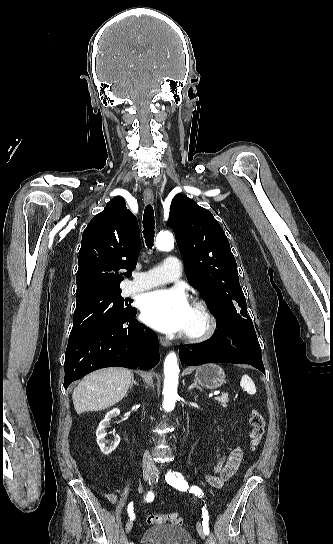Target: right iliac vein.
<instances>
[{"instance_id":"1","label":"right iliac vein","mask_w":333,"mask_h":544,"mask_svg":"<svg viewBox=\"0 0 333 544\" xmlns=\"http://www.w3.org/2000/svg\"><path fill=\"white\" fill-rule=\"evenodd\" d=\"M151 475H152V470H150V469H145V470L143 471V478H144L145 481L150 480ZM132 527H133V520L130 519V520H128L127 523H126V527H125L126 532H127V533H130Z\"/></svg>"}]
</instances>
